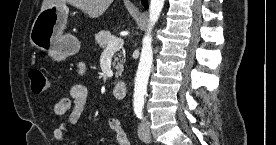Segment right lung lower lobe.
Returning <instances> with one entry per match:
<instances>
[{"label":"right lung lower lobe","instance_id":"1","mask_svg":"<svg viewBox=\"0 0 276 145\" xmlns=\"http://www.w3.org/2000/svg\"><path fill=\"white\" fill-rule=\"evenodd\" d=\"M142 3L144 4V6L147 8L148 7V4H147V1L146 0H142Z\"/></svg>","mask_w":276,"mask_h":145}]
</instances>
